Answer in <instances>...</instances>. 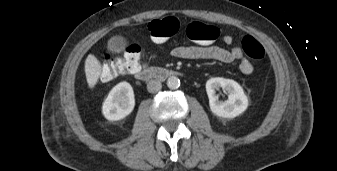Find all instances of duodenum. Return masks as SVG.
Here are the masks:
<instances>
[{
	"mask_svg": "<svg viewBox=\"0 0 337 171\" xmlns=\"http://www.w3.org/2000/svg\"><path fill=\"white\" fill-rule=\"evenodd\" d=\"M176 75H178V73L175 70L161 67L143 68L138 72H136L135 74L136 78L141 81H150V80L164 81Z\"/></svg>",
	"mask_w": 337,
	"mask_h": 171,
	"instance_id": "410a0bca",
	"label": "duodenum"
}]
</instances>
